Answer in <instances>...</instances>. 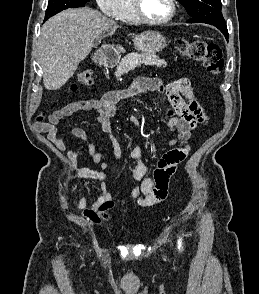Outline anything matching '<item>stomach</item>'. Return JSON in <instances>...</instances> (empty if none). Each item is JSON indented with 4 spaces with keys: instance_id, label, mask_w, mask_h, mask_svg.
Instances as JSON below:
<instances>
[{
    "instance_id": "stomach-1",
    "label": "stomach",
    "mask_w": 259,
    "mask_h": 294,
    "mask_svg": "<svg viewBox=\"0 0 259 294\" xmlns=\"http://www.w3.org/2000/svg\"><path fill=\"white\" fill-rule=\"evenodd\" d=\"M134 47L145 54H155L166 46L165 37L156 31H146L134 37Z\"/></svg>"
}]
</instances>
